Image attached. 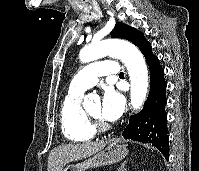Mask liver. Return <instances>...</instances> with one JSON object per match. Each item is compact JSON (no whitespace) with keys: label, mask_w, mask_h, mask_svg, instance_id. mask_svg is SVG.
Returning a JSON list of instances; mask_svg holds the SVG:
<instances>
[{"label":"liver","mask_w":199,"mask_h":171,"mask_svg":"<svg viewBox=\"0 0 199 171\" xmlns=\"http://www.w3.org/2000/svg\"><path fill=\"white\" fill-rule=\"evenodd\" d=\"M107 142H86L82 144H65L55 147L48 157V171H62L69 162L89 157L101 151Z\"/></svg>","instance_id":"1"}]
</instances>
